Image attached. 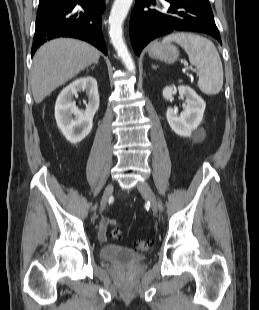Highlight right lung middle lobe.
Returning <instances> with one entry per match:
<instances>
[{
	"label": "right lung middle lobe",
	"mask_w": 259,
	"mask_h": 310,
	"mask_svg": "<svg viewBox=\"0 0 259 310\" xmlns=\"http://www.w3.org/2000/svg\"><path fill=\"white\" fill-rule=\"evenodd\" d=\"M47 1H51V0H41L39 4H45Z\"/></svg>",
	"instance_id": "obj_1"
}]
</instances>
